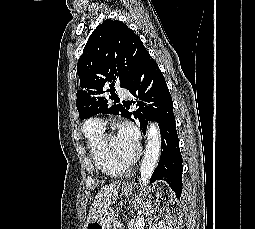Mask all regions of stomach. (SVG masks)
Here are the masks:
<instances>
[{
	"mask_svg": "<svg viewBox=\"0 0 255 229\" xmlns=\"http://www.w3.org/2000/svg\"><path fill=\"white\" fill-rule=\"evenodd\" d=\"M122 194L130 195L133 192V188L124 184L121 189ZM116 219V215L113 210L107 211L96 220L88 222L85 229H111L113 222Z\"/></svg>",
	"mask_w": 255,
	"mask_h": 229,
	"instance_id": "stomach-1",
	"label": "stomach"
}]
</instances>
